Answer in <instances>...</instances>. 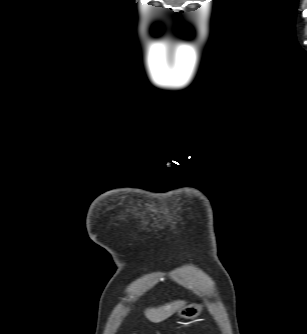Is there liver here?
Wrapping results in <instances>:
<instances>
[{
	"label": "liver",
	"instance_id": "obj_1",
	"mask_svg": "<svg viewBox=\"0 0 307 334\" xmlns=\"http://www.w3.org/2000/svg\"><path fill=\"white\" fill-rule=\"evenodd\" d=\"M184 301H175L173 303L158 307V308H150L145 310V316L151 322H161L168 317H170L173 313L180 310L184 307Z\"/></svg>",
	"mask_w": 307,
	"mask_h": 334
}]
</instances>
